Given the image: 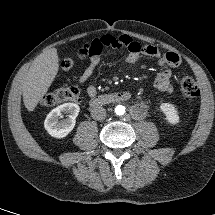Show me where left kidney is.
<instances>
[{
  "mask_svg": "<svg viewBox=\"0 0 215 215\" xmlns=\"http://www.w3.org/2000/svg\"><path fill=\"white\" fill-rule=\"evenodd\" d=\"M161 111L165 114L166 120L168 123L176 125L179 123L180 118L178 115L177 109L174 107L173 104L170 103H162L160 105Z\"/></svg>",
  "mask_w": 215,
  "mask_h": 215,
  "instance_id": "left-kidney-1",
  "label": "left kidney"
}]
</instances>
